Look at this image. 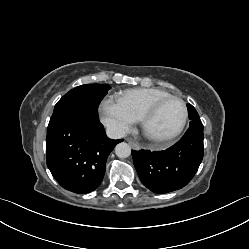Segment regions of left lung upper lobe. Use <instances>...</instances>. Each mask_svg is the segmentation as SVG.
Instances as JSON below:
<instances>
[{"label": "left lung upper lobe", "instance_id": "1", "mask_svg": "<svg viewBox=\"0 0 249 249\" xmlns=\"http://www.w3.org/2000/svg\"><path fill=\"white\" fill-rule=\"evenodd\" d=\"M190 125L189 128H203L202 122L195 108L191 104H187Z\"/></svg>", "mask_w": 249, "mask_h": 249}]
</instances>
